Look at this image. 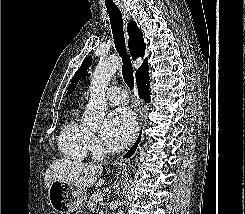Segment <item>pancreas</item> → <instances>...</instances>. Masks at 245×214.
<instances>
[{
    "mask_svg": "<svg viewBox=\"0 0 245 214\" xmlns=\"http://www.w3.org/2000/svg\"><path fill=\"white\" fill-rule=\"evenodd\" d=\"M99 196H102V193L100 191H97L90 196V199L88 201V208L91 211H94L96 209Z\"/></svg>",
    "mask_w": 245,
    "mask_h": 214,
    "instance_id": "pancreas-1",
    "label": "pancreas"
}]
</instances>
